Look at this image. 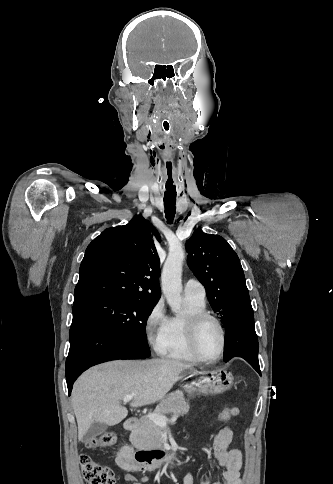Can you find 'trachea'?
I'll return each instance as SVG.
<instances>
[{
  "instance_id": "trachea-1",
  "label": "trachea",
  "mask_w": 333,
  "mask_h": 484,
  "mask_svg": "<svg viewBox=\"0 0 333 484\" xmlns=\"http://www.w3.org/2000/svg\"><path fill=\"white\" fill-rule=\"evenodd\" d=\"M164 138L166 139V143H165V148H164V151L165 152H169L170 151V141H171V130L169 129V124L165 121L164 122ZM166 160L167 162L165 163V184H166V196L164 197V206H165V217L167 219V223L168 224H172L173 223V219H174V216H175V209H176V198L173 197V195L176 194L177 192V181H176V171L174 169V156L172 153H167L166 154Z\"/></svg>"
}]
</instances>
